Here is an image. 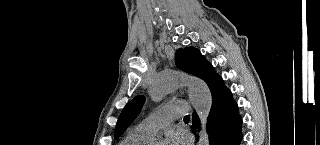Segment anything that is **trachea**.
Listing matches in <instances>:
<instances>
[{
  "label": "trachea",
  "mask_w": 320,
  "mask_h": 145,
  "mask_svg": "<svg viewBox=\"0 0 320 145\" xmlns=\"http://www.w3.org/2000/svg\"><path fill=\"white\" fill-rule=\"evenodd\" d=\"M184 119H185V120H189V119H190V116L187 115V116L184 117Z\"/></svg>",
  "instance_id": "trachea-1"
}]
</instances>
